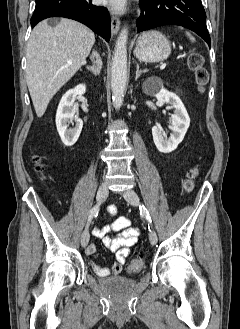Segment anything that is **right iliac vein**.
I'll return each instance as SVG.
<instances>
[{
    "label": "right iliac vein",
    "instance_id": "1",
    "mask_svg": "<svg viewBox=\"0 0 240 329\" xmlns=\"http://www.w3.org/2000/svg\"><path fill=\"white\" fill-rule=\"evenodd\" d=\"M108 196V187L106 183H102L97 192V201L98 203H102ZM90 239V234L88 228H86L81 235V245L82 247H86L88 245Z\"/></svg>",
    "mask_w": 240,
    "mask_h": 329
}]
</instances>
